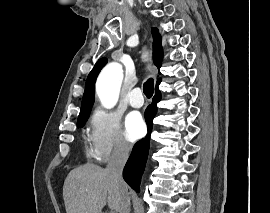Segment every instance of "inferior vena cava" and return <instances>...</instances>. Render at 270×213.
Instances as JSON below:
<instances>
[{
  "instance_id": "602c4592",
  "label": "inferior vena cava",
  "mask_w": 270,
  "mask_h": 213,
  "mask_svg": "<svg viewBox=\"0 0 270 213\" xmlns=\"http://www.w3.org/2000/svg\"><path fill=\"white\" fill-rule=\"evenodd\" d=\"M130 149L131 146L128 143L123 141L118 142L114 147L106 168L121 186V207L119 213H130V197L122 177L123 168L129 157Z\"/></svg>"
}]
</instances>
